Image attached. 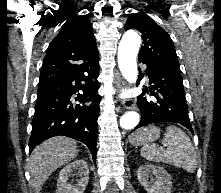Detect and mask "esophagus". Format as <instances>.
<instances>
[{
    "label": "esophagus",
    "instance_id": "1",
    "mask_svg": "<svg viewBox=\"0 0 221 193\" xmlns=\"http://www.w3.org/2000/svg\"><path fill=\"white\" fill-rule=\"evenodd\" d=\"M115 83L119 90L125 87V82L120 77L116 80ZM121 103L126 109H132V110L137 109L136 101L134 99H130V98L123 99Z\"/></svg>",
    "mask_w": 221,
    "mask_h": 193
}]
</instances>
